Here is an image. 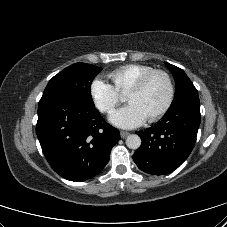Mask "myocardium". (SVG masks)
Here are the masks:
<instances>
[{
  "instance_id": "myocardium-1",
  "label": "myocardium",
  "mask_w": 227,
  "mask_h": 227,
  "mask_svg": "<svg viewBox=\"0 0 227 227\" xmlns=\"http://www.w3.org/2000/svg\"><path fill=\"white\" fill-rule=\"evenodd\" d=\"M156 75H161L166 79L167 85H168V97L163 105V107L147 118L149 122H154L163 117L171 108L174 99H175V84L173 81L172 76L169 72L163 69H154L147 74L143 75L141 78H139L128 90L127 95L130 93L138 92L142 90L146 84L150 81V79Z\"/></svg>"
}]
</instances>
